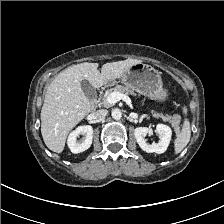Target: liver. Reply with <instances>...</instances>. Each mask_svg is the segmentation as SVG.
I'll use <instances>...</instances> for the list:
<instances>
[{"label": "liver", "mask_w": 224, "mask_h": 224, "mask_svg": "<svg viewBox=\"0 0 224 224\" xmlns=\"http://www.w3.org/2000/svg\"><path fill=\"white\" fill-rule=\"evenodd\" d=\"M142 63L136 59L106 63L101 72L97 63H81L60 72L49 84L41 110V133L46 146L61 153L69 132L92 110L89 99L81 88L87 80L93 88H100L125 73L132 65Z\"/></svg>", "instance_id": "1"}]
</instances>
